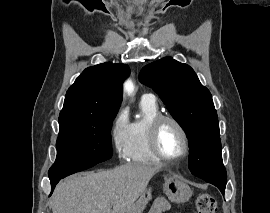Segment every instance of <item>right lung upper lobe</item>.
I'll return each instance as SVG.
<instances>
[{
	"mask_svg": "<svg viewBox=\"0 0 270 213\" xmlns=\"http://www.w3.org/2000/svg\"><path fill=\"white\" fill-rule=\"evenodd\" d=\"M129 72L127 65L113 63L85 69L68 89L60 117L117 113Z\"/></svg>",
	"mask_w": 270,
	"mask_h": 213,
	"instance_id": "right-lung-upper-lobe-1",
	"label": "right lung upper lobe"
}]
</instances>
